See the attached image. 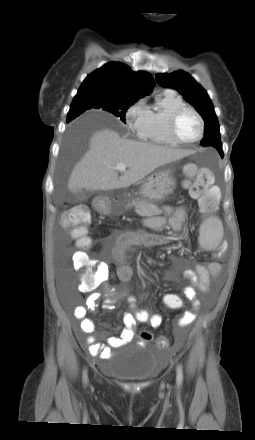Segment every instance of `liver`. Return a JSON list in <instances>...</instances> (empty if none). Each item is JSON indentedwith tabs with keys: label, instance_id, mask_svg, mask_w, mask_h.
<instances>
[{
	"label": "liver",
	"instance_id": "liver-1",
	"mask_svg": "<svg viewBox=\"0 0 255 440\" xmlns=\"http://www.w3.org/2000/svg\"><path fill=\"white\" fill-rule=\"evenodd\" d=\"M191 153L190 150L122 139L109 129L96 131L90 139L89 150L70 175L68 189L75 193L82 189L109 191L127 188L158 167ZM118 163L128 167L120 177L115 169Z\"/></svg>",
	"mask_w": 255,
	"mask_h": 440
}]
</instances>
